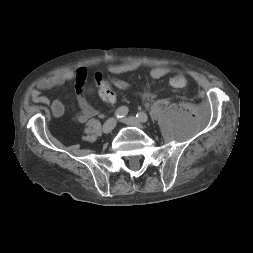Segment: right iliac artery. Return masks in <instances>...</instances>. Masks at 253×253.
I'll return each mask as SVG.
<instances>
[{"mask_svg":"<svg viewBox=\"0 0 253 253\" xmlns=\"http://www.w3.org/2000/svg\"><path fill=\"white\" fill-rule=\"evenodd\" d=\"M129 110L126 106H121L115 111V117L123 118L128 114Z\"/></svg>","mask_w":253,"mask_h":253,"instance_id":"obj_1","label":"right iliac artery"}]
</instances>
